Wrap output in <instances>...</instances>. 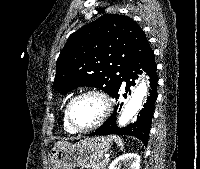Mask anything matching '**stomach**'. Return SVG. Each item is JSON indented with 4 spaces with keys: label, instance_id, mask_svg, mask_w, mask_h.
<instances>
[{
    "label": "stomach",
    "instance_id": "stomach-1",
    "mask_svg": "<svg viewBox=\"0 0 200 169\" xmlns=\"http://www.w3.org/2000/svg\"><path fill=\"white\" fill-rule=\"evenodd\" d=\"M111 147L108 137L86 138L74 145L60 146L52 150V169H74L76 166L90 167L97 164Z\"/></svg>",
    "mask_w": 200,
    "mask_h": 169
}]
</instances>
